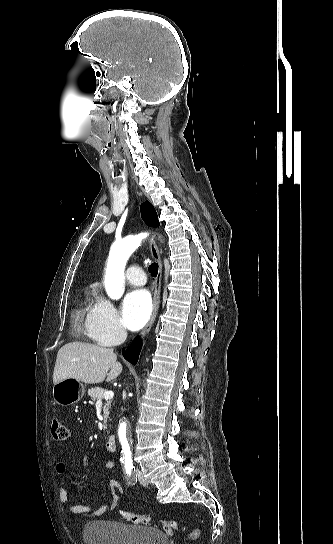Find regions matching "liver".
Here are the masks:
<instances>
[{
    "instance_id": "obj_1",
    "label": "liver",
    "mask_w": 333,
    "mask_h": 544,
    "mask_svg": "<svg viewBox=\"0 0 333 544\" xmlns=\"http://www.w3.org/2000/svg\"><path fill=\"white\" fill-rule=\"evenodd\" d=\"M121 372L122 365L117 362V356L112 349L75 341L59 349L53 383L55 385L66 378H74L87 384H97L105 378L110 382Z\"/></svg>"
}]
</instances>
